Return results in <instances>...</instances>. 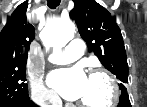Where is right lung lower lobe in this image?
I'll list each match as a JSON object with an SVG mask.
<instances>
[{"instance_id": "right-lung-lower-lobe-1", "label": "right lung lower lobe", "mask_w": 147, "mask_h": 107, "mask_svg": "<svg viewBox=\"0 0 147 107\" xmlns=\"http://www.w3.org/2000/svg\"><path fill=\"white\" fill-rule=\"evenodd\" d=\"M9 107H38V106L34 104L30 99H28L13 103Z\"/></svg>"}]
</instances>
